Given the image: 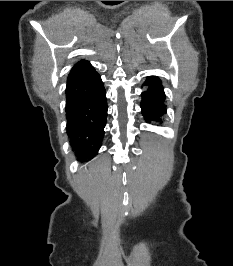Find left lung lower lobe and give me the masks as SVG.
<instances>
[{"instance_id": "obj_1", "label": "left lung lower lobe", "mask_w": 233, "mask_h": 266, "mask_svg": "<svg viewBox=\"0 0 233 266\" xmlns=\"http://www.w3.org/2000/svg\"><path fill=\"white\" fill-rule=\"evenodd\" d=\"M144 85H148V90L142 92L141 109L147 122H161V117L166 113L165 94L159 78L148 77Z\"/></svg>"}]
</instances>
